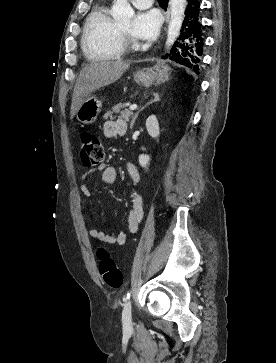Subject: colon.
<instances>
[{"mask_svg":"<svg viewBox=\"0 0 276 363\" xmlns=\"http://www.w3.org/2000/svg\"><path fill=\"white\" fill-rule=\"evenodd\" d=\"M81 159L85 166L96 167L102 164L105 157L104 147L99 137L90 132L81 134ZM99 272L110 288H120L123 283L122 272L117 267L110 253L105 248H99L97 251Z\"/></svg>","mask_w":276,"mask_h":363,"instance_id":"obj_1","label":"colon"}]
</instances>
